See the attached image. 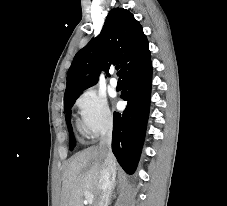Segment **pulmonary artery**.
<instances>
[{
    "label": "pulmonary artery",
    "instance_id": "e3ab8cb5",
    "mask_svg": "<svg viewBox=\"0 0 227 206\" xmlns=\"http://www.w3.org/2000/svg\"><path fill=\"white\" fill-rule=\"evenodd\" d=\"M109 83H110V85H111L112 87H117V85H118V81H117V79L114 78V77H112V78L110 79Z\"/></svg>",
    "mask_w": 227,
    "mask_h": 206
}]
</instances>
